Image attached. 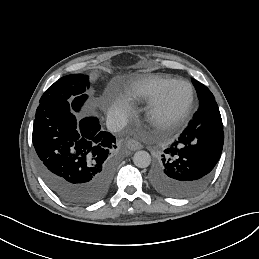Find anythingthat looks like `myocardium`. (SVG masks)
I'll return each mask as SVG.
<instances>
[{"instance_id":"obj_1","label":"myocardium","mask_w":259,"mask_h":259,"mask_svg":"<svg viewBox=\"0 0 259 259\" xmlns=\"http://www.w3.org/2000/svg\"><path fill=\"white\" fill-rule=\"evenodd\" d=\"M147 77H155V75H148ZM143 78L142 80L145 81V79L147 78ZM156 79L159 82H175V81H182L184 83H186L188 85V87L190 88V92H191V97L190 100L188 102V104L181 110L179 111L176 115H174L173 117L166 119L165 121H163V123H165L167 126H169L171 129H175L177 128L185 119H187V117L191 114V112L193 111V109L195 108L196 105V100H197V94H196V89L195 86L193 85V83L183 77L180 76H171L169 78L163 79V78H159L156 77ZM144 101L148 107V109L150 110L151 114L153 115L157 109V106L155 104L154 101H152L148 95H145Z\"/></svg>"}]
</instances>
